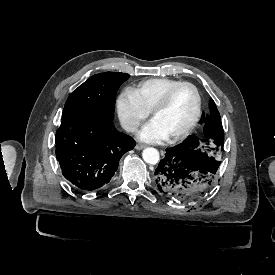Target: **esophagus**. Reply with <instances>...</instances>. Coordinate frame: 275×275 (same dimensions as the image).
<instances>
[{
  "label": "esophagus",
  "instance_id": "obj_1",
  "mask_svg": "<svg viewBox=\"0 0 275 275\" xmlns=\"http://www.w3.org/2000/svg\"><path fill=\"white\" fill-rule=\"evenodd\" d=\"M147 145L146 144H136V146H135V149H137V150H141V149H143V148H145Z\"/></svg>",
  "mask_w": 275,
  "mask_h": 275
}]
</instances>
